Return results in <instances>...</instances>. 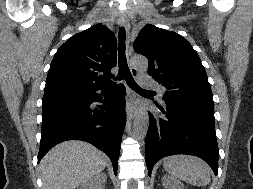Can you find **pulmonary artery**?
<instances>
[{
  "instance_id": "obj_1",
  "label": "pulmonary artery",
  "mask_w": 253,
  "mask_h": 189,
  "mask_svg": "<svg viewBox=\"0 0 253 189\" xmlns=\"http://www.w3.org/2000/svg\"><path fill=\"white\" fill-rule=\"evenodd\" d=\"M139 81H140L141 85H143L144 87H148V88H155L156 87L155 81L149 75L140 76Z\"/></svg>"
}]
</instances>
